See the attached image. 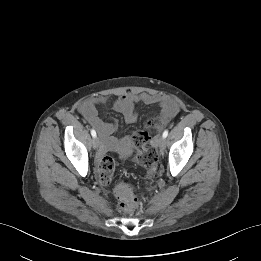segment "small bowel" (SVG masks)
I'll use <instances>...</instances> for the list:
<instances>
[{
  "mask_svg": "<svg viewBox=\"0 0 261 261\" xmlns=\"http://www.w3.org/2000/svg\"><path fill=\"white\" fill-rule=\"evenodd\" d=\"M107 99L104 96H93L81 102L79 111L81 115L93 126L99 135L105 140L108 147L113 146L110 137L116 133L118 125L113 121H104L99 116L98 107L105 105ZM137 103L145 105H159L162 109V120L167 122L179 110L178 102L169 96L163 94H133L126 93L119 96L113 102L112 108L115 112L120 113L126 123H135L138 118L135 106ZM106 184V181H103Z\"/></svg>",
  "mask_w": 261,
  "mask_h": 261,
  "instance_id": "c3829d8e",
  "label": "small bowel"
}]
</instances>
